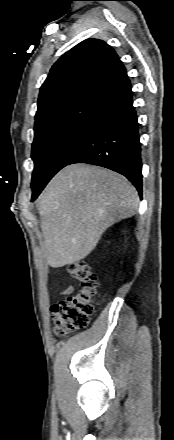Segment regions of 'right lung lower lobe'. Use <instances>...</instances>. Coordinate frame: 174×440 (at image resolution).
I'll return each instance as SVG.
<instances>
[{
  "label": "right lung lower lobe",
  "mask_w": 174,
  "mask_h": 440,
  "mask_svg": "<svg viewBox=\"0 0 174 440\" xmlns=\"http://www.w3.org/2000/svg\"><path fill=\"white\" fill-rule=\"evenodd\" d=\"M127 75L97 94L94 115L84 140L67 163H88L128 178L142 198L141 143ZM46 184L33 189L32 201Z\"/></svg>",
  "instance_id": "1"
}]
</instances>
